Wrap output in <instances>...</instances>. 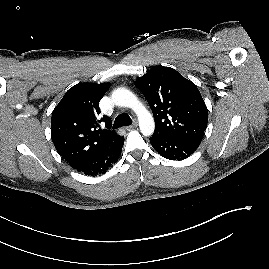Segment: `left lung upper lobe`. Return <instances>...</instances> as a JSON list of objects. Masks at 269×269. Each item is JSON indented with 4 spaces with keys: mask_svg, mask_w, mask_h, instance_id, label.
<instances>
[{
    "mask_svg": "<svg viewBox=\"0 0 269 269\" xmlns=\"http://www.w3.org/2000/svg\"><path fill=\"white\" fill-rule=\"evenodd\" d=\"M135 86L145 95L155 118V135L202 138L208 111L197 86L175 69L155 66Z\"/></svg>",
    "mask_w": 269,
    "mask_h": 269,
    "instance_id": "left-lung-upper-lobe-1",
    "label": "left lung upper lobe"
}]
</instances>
